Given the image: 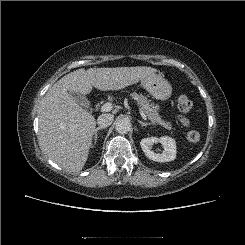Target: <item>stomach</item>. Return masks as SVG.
I'll return each mask as SVG.
<instances>
[{
  "instance_id": "obj_1",
  "label": "stomach",
  "mask_w": 245,
  "mask_h": 245,
  "mask_svg": "<svg viewBox=\"0 0 245 245\" xmlns=\"http://www.w3.org/2000/svg\"><path fill=\"white\" fill-rule=\"evenodd\" d=\"M140 83L157 100L166 101L172 95V86L161 75L152 74L141 80Z\"/></svg>"
}]
</instances>
